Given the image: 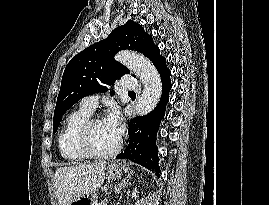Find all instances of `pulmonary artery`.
<instances>
[{"label":"pulmonary artery","instance_id":"e3ab8cb5","mask_svg":"<svg viewBox=\"0 0 269 205\" xmlns=\"http://www.w3.org/2000/svg\"><path fill=\"white\" fill-rule=\"evenodd\" d=\"M121 87L127 90H136L138 88V82L133 77L125 76L121 79ZM98 98V95H90L84 97L80 101L81 108L92 113L97 106Z\"/></svg>","mask_w":269,"mask_h":205}]
</instances>
